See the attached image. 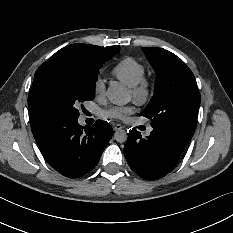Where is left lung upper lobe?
<instances>
[{
    "instance_id": "obj_1",
    "label": "left lung upper lobe",
    "mask_w": 233,
    "mask_h": 233,
    "mask_svg": "<svg viewBox=\"0 0 233 233\" xmlns=\"http://www.w3.org/2000/svg\"><path fill=\"white\" fill-rule=\"evenodd\" d=\"M156 72L155 93L143 112L153 129L192 133L201 97L195 77L175 54L155 47L142 48Z\"/></svg>"
}]
</instances>
